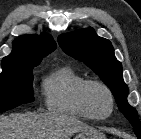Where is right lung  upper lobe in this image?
Returning <instances> with one entry per match:
<instances>
[{"instance_id": "cb5924a9", "label": "right lung upper lobe", "mask_w": 141, "mask_h": 139, "mask_svg": "<svg viewBox=\"0 0 141 139\" xmlns=\"http://www.w3.org/2000/svg\"><path fill=\"white\" fill-rule=\"evenodd\" d=\"M55 48L56 43L46 34L18 37L13 41L12 52L3 58L2 68L38 65Z\"/></svg>"}]
</instances>
